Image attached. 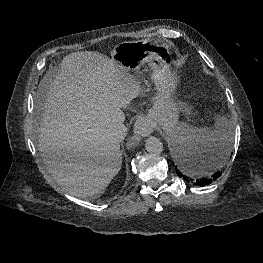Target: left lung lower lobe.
<instances>
[{
	"mask_svg": "<svg viewBox=\"0 0 263 263\" xmlns=\"http://www.w3.org/2000/svg\"><path fill=\"white\" fill-rule=\"evenodd\" d=\"M206 147L213 150L207 151L204 147L195 153L185 152L180 149L176 150V173L186 183L204 187L221 176V172L216 171L217 169L209 170L205 168L209 158L217 156L220 153L221 147Z\"/></svg>",
	"mask_w": 263,
	"mask_h": 263,
	"instance_id": "obj_1",
	"label": "left lung lower lobe"
}]
</instances>
